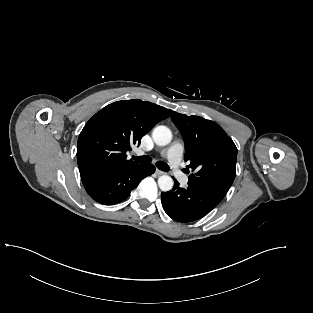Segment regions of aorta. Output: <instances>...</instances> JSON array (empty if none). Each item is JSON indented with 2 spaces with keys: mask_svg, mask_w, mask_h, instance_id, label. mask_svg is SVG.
I'll return each instance as SVG.
<instances>
[{
  "mask_svg": "<svg viewBox=\"0 0 313 313\" xmlns=\"http://www.w3.org/2000/svg\"><path fill=\"white\" fill-rule=\"evenodd\" d=\"M152 138L154 142L159 146H165L170 143L172 139V133L166 126H157L152 132ZM173 179L168 175H162L158 178V186L164 191H170L173 188Z\"/></svg>",
  "mask_w": 313,
  "mask_h": 313,
  "instance_id": "762f6f07",
  "label": "aorta"
}]
</instances>
